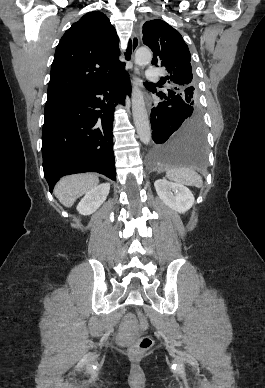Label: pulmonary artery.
Masks as SVG:
<instances>
[{
	"instance_id": "1",
	"label": "pulmonary artery",
	"mask_w": 265,
	"mask_h": 388,
	"mask_svg": "<svg viewBox=\"0 0 265 388\" xmlns=\"http://www.w3.org/2000/svg\"><path fill=\"white\" fill-rule=\"evenodd\" d=\"M148 69L150 82H160L162 80V77L155 72V70L157 69V66L155 64H150L148 66ZM145 76L147 77L148 75L146 74Z\"/></svg>"
}]
</instances>
